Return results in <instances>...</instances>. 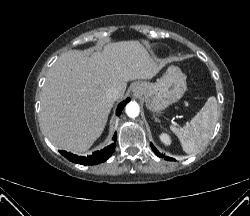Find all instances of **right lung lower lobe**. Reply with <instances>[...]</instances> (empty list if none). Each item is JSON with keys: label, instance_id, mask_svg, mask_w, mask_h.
Masks as SVG:
<instances>
[{"label": "right lung lower lobe", "instance_id": "98d812e1", "mask_svg": "<svg viewBox=\"0 0 250 216\" xmlns=\"http://www.w3.org/2000/svg\"><path fill=\"white\" fill-rule=\"evenodd\" d=\"M130 101V98L126 99L125 101L121 102L116 110V115L119 116L121 111L123 110L124 106ZM113 140L116 141V134L113 136ZM115 150V144H111L101 151H96L92 155L87 157L77 156L71 154L70 152L60 151V153L66 157L68 160L74 163L84 164V165H94L98 163H102L106 161L113 151Z\"/></svg>", "mask_w": 250, "mask_h": 216}]
</instances>
